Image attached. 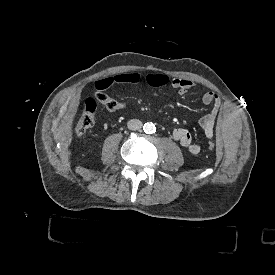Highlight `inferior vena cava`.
Masks as SVG:
<instances>
[{
    "label": "inferior vena cava",
    "instance_id": "inferior-vena-cava-1",
    "mask_svg": "<svg viewBox=\"0 0 275 275\" xmlns=\"http://www.w3.org/2000/svg\"><path fill=\"white\" fill-rule=\"evenodd\" d=\"M141 127H142V122L138 119H132L127 122V128L131 131L141 129Z\"/></svg>",
    "mask_w": 275,
    "mask_h": 275
}]
</instances>
